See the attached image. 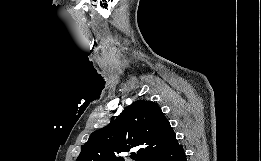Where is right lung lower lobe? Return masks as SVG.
Returning <instances> with one entry per match:
<instances>
[{
	"instance_id": "98d812e1",
	"label": "right lung lower lobe",
	"mask_w": 261,
	"mask_h": 161,
	"mask_svg": "<svg viewBox=\"0 0 261 161\" xmlns=\"http://www.w3.org/2000/svg\"><path fill=\"white\" fill-rule=\"evenodd\" d=\"M147 161H186V155L182 145L177 144L169 150L152 155Z\"/></svg>"
}]
</instances>
